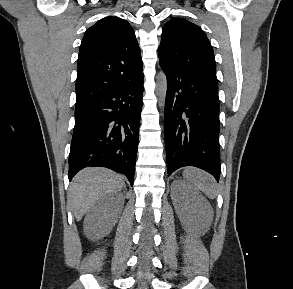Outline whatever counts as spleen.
Here are the masks:
<instances>
[{
  "mask_svg": "<svg viewBox=\"0 0 293 289\" xmlns=\"http://www.w3.org/2000/svg\"><path fill=\"white\" fill-rule=\"evenodd\" d=\"M183 177L193 186L203 192L208 198L214 199L217 196V186L215 179L197 168H186L183 171Z\"/></svg>",
  "mask_w": 293,
  "mask_h": 289,
  "instance_id": "3e777b00",
  "label": "spleen"
}]
</instances>
